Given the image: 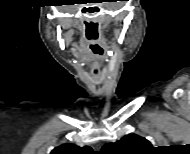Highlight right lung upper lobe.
Returning a JSON list of instances; mask_svg holds the SVG:
<instances>
[{
    "instance_id": "right-lung-upper-lobe-1",
    "label": "right lung upper lobe",
    "mask_w": 190,
    "mask_h": 154,
    "mask_svg": "<svg viewBox=\"0 0 190 154\" xmlns=\"http://www.w3.org/2000/svg\"><path fill=\"white\" fill-rule=\"evenodd\" d=\"M91 152L92 150L88 146L81 148L74 144H63L53 149L50 154H82V153H91Z\"/></svg>"
}]
</instances>
